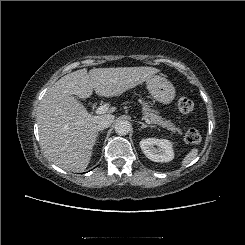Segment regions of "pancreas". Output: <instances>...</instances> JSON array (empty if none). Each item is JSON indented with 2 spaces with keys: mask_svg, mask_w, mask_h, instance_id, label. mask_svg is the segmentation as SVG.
<instances>
[{
  "mask_svg": "<svg viewBox=\"0 0 245 245\" xmlns=\"http://www.w3.org/2000/svg\"><path fill=\"white\" fill-rule=\"evenodd\" d=\"M139 101L142 104L143 115L146 118H148L153 124H157L172 132H177L179 134H182V130L179 127H177L174 123H172L170 120H164L161 116L158 115V112L155 110H152L146 102L142 100H139Z\"/></svg>",
  "mask_w": 245,
  "mask_h": 245,
  "instance_id": "obj_1",
  "label": "pancreas"
}]
</instances>
